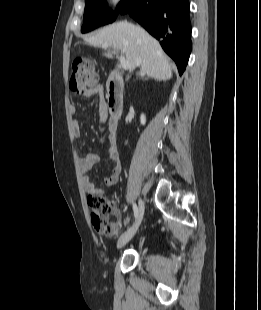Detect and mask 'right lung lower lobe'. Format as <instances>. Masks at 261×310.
<instances>
[{
	"label": "right lung lower lobe",
	"mask_w": 261,
	"mask_h": 310,
	"mask_svg": "<svg viewBox=\"0 0 261 310\" xmlns=\"http://www.w3.org/2000/svg\"><path fill=\"white\" fill-rule=\"evenodd\" d=\"M128 13L176 62L181 75L191 52L189 0H129L120 11Z\"/></svg>",
	"instance_id": "right-lung-lower-lobe-1"
}]
</instances>
